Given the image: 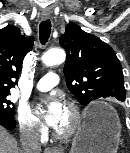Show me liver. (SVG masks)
<instances>
[{
    "mask_svg": "<svg viewBox=\"0 0 130 153\" xmlns=\"http://www.w3.org/2000/svg\"><path fill=\"white\" fill-rule=\"evenodd\" d=\"M0 153H21L16 139L0 126Z\"/></svg>",
    "mask_w": 130,
    "mask_h": 153,
    "instance_id": "obj_1",
    "label": "liver"
}]
</instances>
